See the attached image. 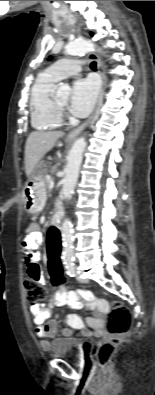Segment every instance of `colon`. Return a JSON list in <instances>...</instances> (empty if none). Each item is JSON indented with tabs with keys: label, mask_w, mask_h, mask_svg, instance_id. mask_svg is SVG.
I'll return each mask as SVG.
<instances>
[{
	"label": "colon",
	"mask_w": 155,
	"mask_h": 395,
	"mask_svg": "<svg viewBox=\"0 0 155 395\" xmlns=\"http://www.w3.org/2000/svg\"><path fill=\"white\" fill-rule=\"evenodd\" d=\"M48 244L46 250L49 251V265L47 272H51L53 288H62L64 273L62 261L59 260L61 245H65L66 240L61 236L60 228H49ZM25 299L30 305H35L44 300L47 296L45 287L35 278L29 277L24 282ZM132 320V314L128 307L122 303L115 302L112 305L111 313L108 315L107 331L108 338L101 341L95 351V356L99 364L106 365L114 355L117 346L128 333Z\"/></svg>",
	"instance_id": "1"
}]
</instances>
